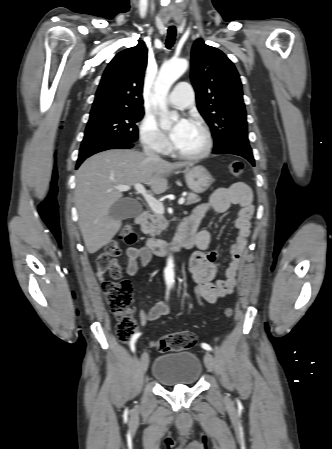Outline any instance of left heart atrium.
I'll return each instance as SVG.
<instances>
[{
  "label": "left heart atrium",
  "instance_id": "left-heart-atrium-1",
  "mask_svg": "<svg viewBox=\"0 0 332 449\" xmlns=\"http://www.w3.org/2000/svg\"><path fill=\"white\" fill-rule=\"evenodd\" d=\"M190 123L191 122L189 120L181 118L174 124V126L171 128L169 132L170 139L174 144H176L179 141L183 133L189 127Z\"/></svg>",
  "mask_w": 332,
  "mask_h": 449
}]
</instances>
